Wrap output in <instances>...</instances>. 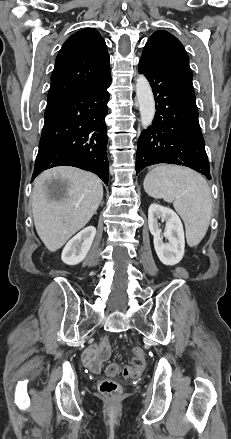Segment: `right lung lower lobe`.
Returning a JSON list of instances; mask_svg holds the SVG:
<instances>
[{"mask_svg":"<svg viewBox=\"0 0 231 439\" xmlns=\"http://www.w3.org/2000/svg\"><path fill=\"white\" fill-rule=\"evenodd\" d=\"M111 84L105 81L84 89L45 111L33 179L55 166H74L97 174L106 185L109 180L107 127Z\"/></svg>","mask_w":231,"mask_h":439,"instance_id":"obj_1","label":"right lung lower lobe"}]
</instances>
